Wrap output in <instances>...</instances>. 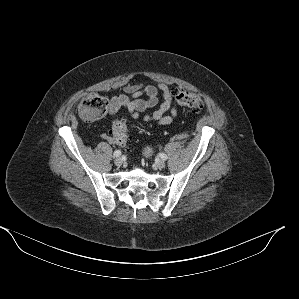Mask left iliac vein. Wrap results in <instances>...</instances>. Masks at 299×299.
<instances>
[{
	"label": "left iliac vein",
	"instance_id": "obj_1",
	"mask_svg": "<svg viewBox=\"0 0 299 299\" xmlns=\"http://www.w3.org/2000/svg\"><path fill=\"white\" fill-rule=\"evenodd\" d=\"M156 166L160 169L164 168L165 167V162L162 161V160H159L156 162Z\"/></svg>",
	"mask_w": 299,
	"mask_h": 299
}]
</instances>
